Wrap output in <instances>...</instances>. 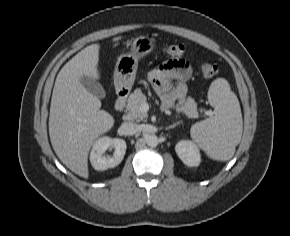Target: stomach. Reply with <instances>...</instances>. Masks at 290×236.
I'll return each mask as SVG.
<instances>
[{"label":"stomach","instance_id":"stomach-1","mask_svg":"<svg viewBox=\"0 0 290 236\" xmlns=\"http://www.w3.org/2000/svg\"><path fill=\"white\" fill-rule=\"evenodd\" d=\"M155 47L152 39L146 36L135 38L131 51L118 57L114 70V85L116 89H131L136 76L139 60L151 53Z\"/></svg>","mask_w":290,"mask_h":236}]
</instances>
